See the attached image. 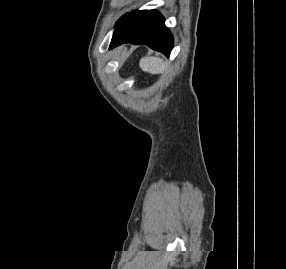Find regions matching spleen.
<instances>
[{"instance_id":"obj_1","label":"spleen","mask_w":286,"mask_h":269,"mask_svg":"<svg viewBox=\"0 0 286 269\" xmlns=\"http://www.w3.org/2000/svg\"><path fill=\"white\" fill-rule=\"evenodd\" d=\"M140 67L143 71L151 74L162 73L166 69L165 63L160 58L145 57L140 60Z\"/></svg>"}]
</instances>
